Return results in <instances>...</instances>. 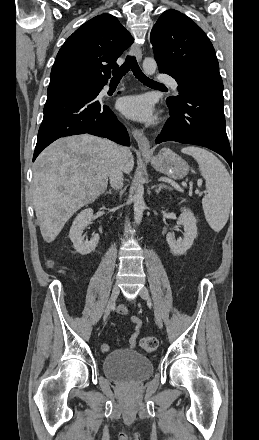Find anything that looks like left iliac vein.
I'll return each instance as SVG.
<instances>
[{
  "label": "left iliac vein",
  "instance_id": "1",
  "mask_svg": "<svg viewBox=\"0 0 259 440\" xmlns=\"http://www.w3.org/2000/svg\"><path fill=\"white\" fill-rule=\"evenodd\" d=\"M139 295H140V297H141L142 299H144V300H145L150 306L152 305V301H151V298H150L149 292H148V290H147L146 287H142V288L140 289V291H139ZM154 313H155V321H156L158 327L161 329V328L163 327V321H162L161 315H160V313H159L156 309L154 310Z\"/></svg>",
  "mask_w": 259,
  "mask_h": 440
}]
</instances>
